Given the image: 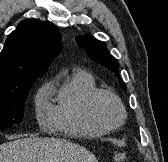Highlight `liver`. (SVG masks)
<instances>
[{
    "mask_svg": "<svg viewBox=\"0 0 168 162\" xmlns=\"http://www.w3.org/2000/svg\"><path fill=\"white\" fill-rule=\"evenodd\" d=\"M0 162H97L86 148L58 138H22L0 145Z\"/></svg>",
    "mask_w": 168,
    "mask_h": 162,
    "instance_id": "1",
    "label": "liver"
}]
</instances>
